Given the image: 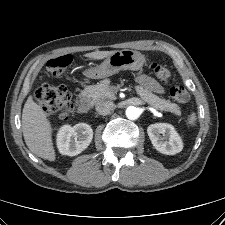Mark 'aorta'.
<instances>
[{
  "label": "aorta",
  "instance_id": "762f6f07",
  "mask_svg": "<svg viewBox=\"0 0 225 225\" xmlns=\"http://www.w3.org/2000/svg\"><path fill=\"white\" fill-rule=\"evenodd\" d=\"M126 116L130 120H135L140 116V111L137 107L129 106L126 109Z\"/></svg>",
  "mask_w": 225,
  "mask_h": 225
}]
</instances>
